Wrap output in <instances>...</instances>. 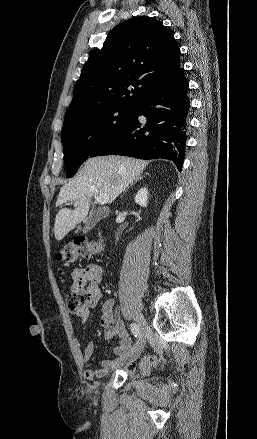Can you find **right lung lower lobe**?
Returning <instances> with one entry per match:
<instances>
[{
	"label": "right lung lower lobe",
	"instance_id": "98d812e1",
	"mask_svg": "<svg viewBox=\"0 0 257 439\" xmlns=\"http://www.w3.org/2000/svg\"><path fill=\"white\" fill-rule=\"evenodd\" d=\"M188 82L184 69L156 86L136 107L132 119L100 143L90 157L124 155L172 160L181 171L186 145ZM144 116L147 120L138 119Z\"/></svg>",
	"mask_w": 257,
	"mask_h": 439
}]
</instances>
